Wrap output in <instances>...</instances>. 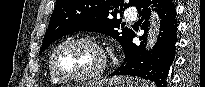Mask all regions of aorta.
<instances>
[{
    "label": "aorta",
    "instance_id": "762f6f07",
    "mask_svg": "<svg viewBox=\"0 0 205 87\" xmlns=\"http://www.w3.org/2000/svg\"><path fill=\"white\" fill-rule=\"evenodd\" d=\"M153 23H154V30L149 35L148 48L153 47V45L156 42V36H157V32H158V24H156V22H153Z\"/></svg>",
    "mask_w": 205,
    "mask_h": 87
}]
</instances>
